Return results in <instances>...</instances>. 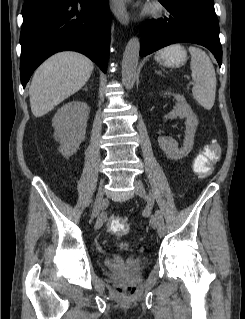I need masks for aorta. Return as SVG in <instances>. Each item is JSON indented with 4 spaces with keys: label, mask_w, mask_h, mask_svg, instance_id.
<instances>
[{
    "label": "aorta",
    "mask_w": 245,
    "mask_h": 319,
    "mask_svg": "<svg viewBox=\"0 0 245 319\" xmlns=\"http://www.w3.org/2000/svg\"><path fill=\"white\" fill-rule=\"evenodd\" d=\"M140 52V41L132 37L125 48L122 60V82L127 88H132L135 82Z\"/></svg>",
    "instance_id": "aorta-1"
}]
</instances>
